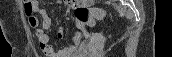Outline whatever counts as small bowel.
<instances>
[{
	"label": "small bowel",
	"instance_id": "obj_1",
	"mask_svg": "<svg viewBox=\"0 0 172 57\" xmlns=\"http://www.w3.org/2000/svg\"><path fill=\"white\" fill-rule=\"evenodd\" d=\"M25 12L27 15V21L30 28L37 39L40 50L48 57H70L76 52H83L85 45L82 42V35L80 32L75 33L72 42L60 49L55 51L50 45V37L46 32L51 26V19L46 14L45 9L36 0L24 1ZM41 17V21L39 17ZM58 38L63 36V28L59 27L57 32Z\"/></svg>",
	"mask_w": 172,
	"mask_h": 57
}]
</instances>
